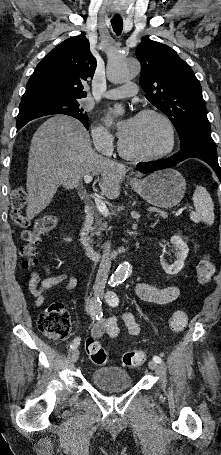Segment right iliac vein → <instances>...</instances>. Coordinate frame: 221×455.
I'll use <instances>...</instances> for the list:
<instances>
[{
	"mask_svg": "<svg viewBox=\"0 0 221 455\" xmlns=\"http://www.w3.org/2000/svg\"><path fill=\"white\" fill-rule=\"evenodd\" d=\"M79 359V351L77 349H74V351L71 354V361L76 363Z\"/></svg>",
	"mask_w": 221,
	"mask_h": 455,
	"instance_id": "obj_1",
	"label": "right iliac vein"
}]
</instances>
